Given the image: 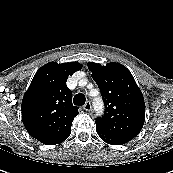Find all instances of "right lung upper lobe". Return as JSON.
Returning a JSON list of instances; mask_svg holds the SVG:
<instances>
[{
	"label": "right lung upper lobe",
	"instance_id": "1",
	"mask_svg": "<svg viewBox=\"0 0 173 173\" xmlns=\"http://www.w3.org/2000/svg\"><path fill=\"white\" fill-rule=\"evenodd\" d=\"M81 68L78 62H50L36 72L21 105L24 126L33 138L54 145L70 135L78 107L72 104L66 80Z\"/></svg>",
	"mask_w": 173,
	"mask_h": 173
}]
</instances>
